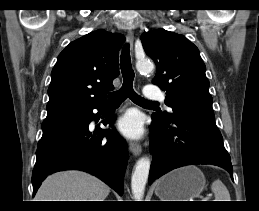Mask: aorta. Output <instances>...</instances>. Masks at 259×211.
<instances>
[{
  "mask_svg": "<svg viewBox=\"0 0 259 211\" xmlns=\"http://www.w3.org/2000/svg\"><path fill=\"white\" fill-rule=\"evenodd\" d=\"M136 68L139 72H151L154 68V65L150 61L143 59L136 63ZM150 164L151 162L148 157H142L136 162L131 178V189L135 201H141L144 196Z\"/></svg>",
  "mask_w": 259,
  "mask_h": 211,
  "instance_id": "aorta-1",
  "label": "aorta"
}]
</instances>
